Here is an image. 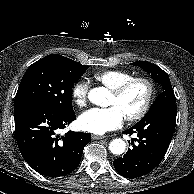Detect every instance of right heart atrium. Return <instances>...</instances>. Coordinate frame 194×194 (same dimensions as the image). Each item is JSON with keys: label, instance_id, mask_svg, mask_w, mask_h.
<instances>
[{"label": "right heart atrium", "instance_id": "1", "mask_svg": "<svg viewBox=\"0 0 194 194\" xmlns=\"http://www.w3.org/2000/svg\"><path fill=\"white\" fill-rule=\"evenodd\" d=\"M90 89V83L87 79H79L77 80L71 89V96L74 103L77 106H84L87 102L88 93Z\"/></svg>", "mask_w": 194, "mask_h": 194}]
</instances>
